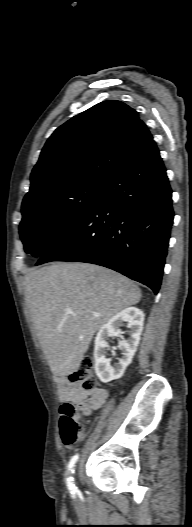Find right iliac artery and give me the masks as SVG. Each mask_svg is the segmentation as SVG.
<instances>
[{"mask_svg":"<svg viewBox=\"0 0 192 527\" xmlns=\"http://www.w3.org/2000/svg\"><path fill=\"white\" fill-rule=\"evenodd\" d=\"M78 458H79V455H78V454L74 455V456L71 458V460H70V462H69V465H68V470H69V472H73V471H74L73 468H74V466L76 465V463H77V461H78ZM66 482H67V487H68V489L70 490V492H71L72 494H74V493L76 492V487H75L74 482H73V477L69 476V477L66 479Z\"/></svg>","mask_w":192,"mask_h":527,"instance_id":"obj_1","label":"right iliac artery"}]
</instances>
